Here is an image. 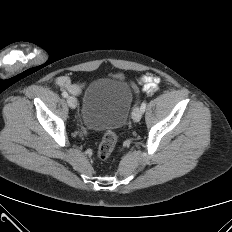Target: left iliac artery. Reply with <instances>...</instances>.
I'll list each match as a JSON object with an SVG mask.
<instances>
[{"label": "left iliac artery", "mask_w": 232, "mask_h": 232, "mask_svg": "<svg viewBox=\"0 0 232 232\" xmlns=\"http://www.w3.org/2000/svg\"><path fill=\"white\" fill-rule=\"evenodd\" d=\"M146 109V102L144 101L142 104H141V110L142 112H144Z\"/></svg>", "instance_id": "obj_1"}]
</instances>
